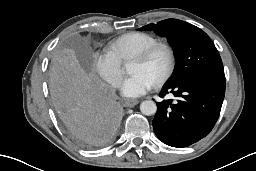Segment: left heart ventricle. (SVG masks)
<instances>
[{
	"label": "left heart ventricle",
	"instance_id": "b2bd125f",
	"mask_svg": "<svg viewBox=\"0 0 256 171\" xmlns=\"http://www.w3.org/2000/svg\"><path fill=\"white\" fill-rule=\"evenodd\" d=\"M167 66L168 56L164 50H160L147 62L133 61L131 65V73H142L153 83H156V81L165 73Z\"/></svg>",
	"mask_w": 256,
	"mask_h": 171
}]
</instances>
